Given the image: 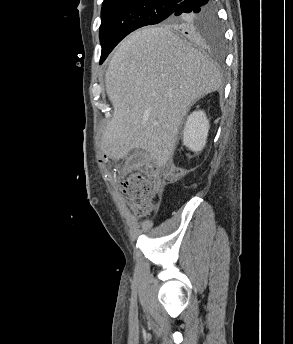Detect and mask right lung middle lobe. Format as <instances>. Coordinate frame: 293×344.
<instances>
[{
    "mask_svg": "<svg viewBox=\"0 0 293 344\" xmlns=\"http://www.w3.org/2000/svg\"><path fill=\"white\" fill-rule=\"evenodd\" d=\"M176 3L161 0H128L103 3L101 10L100 42L102 63L113 48L132 31L164 23L180 30L193 41L213 49L223 47V30L215 8L180 16L173 15Z\"/></svg>",
    "mask_w": 293,
    "mask_h": 344,
    "instance_id": "1",
    "label": "right lung middle lobe"
}]
</instances>
